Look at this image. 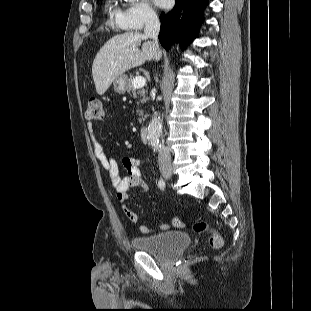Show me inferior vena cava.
<instances>
[{
    "instance_id": "602c4592",
    "label": "inferior vena cava",
    "mask_w": 311,
    "mask_h": 311,
    "mask_svg": "<svg viewBox=\"0 0 311 311\" xmlns=\"http://www.w3.org/2000/svg\"><path fill=\"white\" fill-rule=\"evenodd\" d=\"M160 31V22L157 15L154 12L147 14L145 19V28L144 35L150 39H153V42L157 49H159L158 44V34ZM158 162L159 166H170L171 165V155L169 149L165 147L164 141L160 144L158 149Z\"/></svg>"
}]
</instances>
